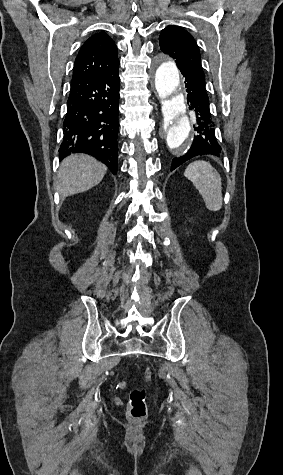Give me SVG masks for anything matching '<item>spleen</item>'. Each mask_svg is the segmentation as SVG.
<instances>
[{
  "mask_svg": "<svg viewBox=\"0 0 283 475\" xmlns=\"http://www.w3.org/2000/svg\"><path fill=\"white\" fill-rule=\"evenodd\" d=\"M185 178L193 182L199 194H201L207 210L218 212L223 204L222 182L220 174L212 168L209 162H192L184 172Z\"/></svg>",
  "mask_w": 283,
  "mask_h": 475,
  "instance_id": "spleen-1",
  "label": "spleen"
}]
</instances>
